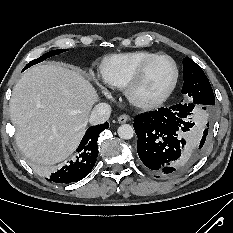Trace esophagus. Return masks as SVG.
I'll list each match as a JSON object with an SVG mask.
<instances>
[{"mask_svg": "<svg viewBox=\"0 0 233 233\" xmlns=\"http://www.w3.org/2000/svg\"><path fill=\"white\" fill-rule=\"evenodd\" d=\"M129 120V117L126 114L120 115L118 117V122L119 123H126Z\"/></svg>", "mask_w": 233, "mask_h": 233, "instance_id": "1", "label": "esophagus"}]
</instances>
